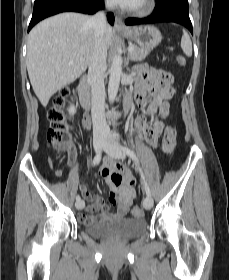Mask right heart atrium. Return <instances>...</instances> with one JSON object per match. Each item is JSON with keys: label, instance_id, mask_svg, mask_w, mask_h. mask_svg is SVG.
<instances>
[{"label": "right heart atrium", "instance_id": "1", "mask_svg": "<svg viewBox=\"0 0 229 280\" xmlns=\"http://www.w3.org/2000/svg\"><path fill=\"white\" fill-rule=\"evenodd\" d=\"M107 5H112V0H105Z\"/></svg>", "mask_w": 229, "mask_h": 280}]
</instances>
